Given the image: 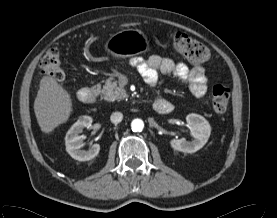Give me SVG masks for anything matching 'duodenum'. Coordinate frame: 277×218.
<instances>
[{
  "label": "duodenum",
  "instance_id": "1",
  "mask_svg": "<svg viewBox=\"0 0 277 218\" xmlns=\"http://www.w3.org/2000/svg\"><path fill=\"white\" fill-rule=\"evenodd\" d=\"M96 93L97 92L91 88H82L78 92V98L83 103H91L94 100ZM170 108L171 104L166 100L161 101L160 106L158 107L162 113H166Z\"/></svg>",
  "mask_w": 277,
  "mask_h": 218
}]
</instances>
